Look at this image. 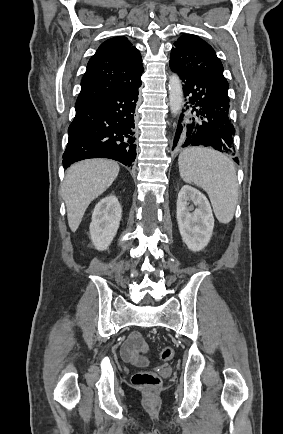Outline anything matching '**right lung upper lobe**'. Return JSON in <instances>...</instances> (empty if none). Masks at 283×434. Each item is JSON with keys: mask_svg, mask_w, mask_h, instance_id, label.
Instances as JSON below:
<instances>
[{"mask_svg": "<svg viewBox=\"0 0 283 434\" xmlns=\"http://www.w3.org/2000/svg\"><path fill=\"white\" fill-rule=\"evenodd\" d=\"M142 72L140 52L126 37L105 41L87 64L75 107L128 90L141 81Z\"/></svg>", "mask_w": 283, "mask_h": 434, "instance_id": "cb5924a9", "label": "right lung upper lobe"}]
</instances>
